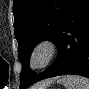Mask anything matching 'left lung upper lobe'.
<instances>
[{
    "label": "left lung upper lobe",
    "instance_id": "obj_1",
    "mask_svg": "<svg viewBox=\"0 0 89 89\" xmlns=\"http://www.w3.org/2000/svg\"><path fill=\"white\" fill-rule=\"evenodd\" d=\"M71 0H14V31L22 63L20 89L28 87L36 76L29 68L34 47L43 40L55 41Z\"/></svg>",
    "mask_w": 89,
    "mask_h": 89
}]
</instances>
